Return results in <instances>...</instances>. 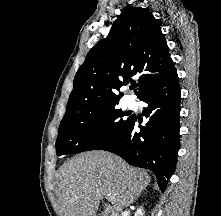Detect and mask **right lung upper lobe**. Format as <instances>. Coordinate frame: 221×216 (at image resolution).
I'll use <instances>...</instances> for the list:
<instances>
[{
    "mask_svg": "<svg viewBox=\"0 0 221 216\" xmlns=\"http://www.w3.org/2000/svg\"><path fill=\"white\" fill-rule=\"evenodd\" d=\"M174 70L157 19L147 9L127 7L78 69L63 119L117 105L123 96L117 91L135 75L140 76L136 92L140 98Z\"/></svg>",
    "mask_w": 221,
    "mask_h": 216,
    "instance_id": "1",
    "label": "right lung upper lobe"
}]
</instances>
